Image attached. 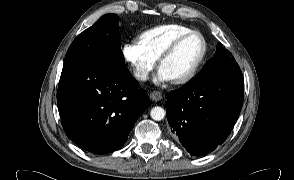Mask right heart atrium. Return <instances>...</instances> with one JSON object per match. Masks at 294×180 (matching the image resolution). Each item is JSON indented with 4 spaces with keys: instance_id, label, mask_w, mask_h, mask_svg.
Segmentation results:
<instances>
[{
    "instance_id": "1",
    "label": "right heart atrium",
    "mask_w": 294,
    "mask_h": 180,
    "mask_svg": "<svg viewBox=\"0 0 294 180\" xmlns=\"http://www.w3.org/2000/svg\"><path fill=\"white\" fill-rule=\"evenodd\" d=\"M122 53L132 69L133 76L139 81H145L157 64V59L137 40L127 41L122 46Z\"/></svg>"
}]
</instances>
